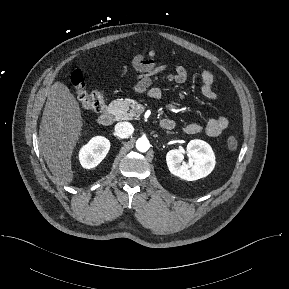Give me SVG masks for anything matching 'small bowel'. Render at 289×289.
<instances>
[{
    "label": "small bowel",
    "instance_id": "small-bowel-1",
    "mask_svg": "<svg viewBox=\"0 0 289 289\" xmlns=\"http://www.w3.org/2000/svg\"><path fill=\"white\" fill-rule=\"evenodd\" d=\"M133 68L140 73L134 90L138 93L147 92L153 99H159L162 96V90L159 87L151 86L154 81L163 80L171 83H183L187 80L188 73L183 65L178 64L174 72H167L166 67L157 65L155 61L147 59L144 55H136L132 60ZM126 72L125 67L122 74ZM201 93L209 100H216L218 93L214 89V75L208 70H204L200 74ZM229 120L226 116H217L210 118L204 131L211 137L219 136L223 130L227 128ZM184 131L187 134H198L203 128L199 124L189 123L184 126Z\"/></svg>",
    "mask_w": 289,
    "mask_h": 289
}]
</instances>
